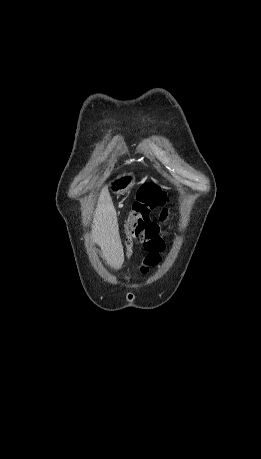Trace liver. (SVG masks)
<instances>
[{
	"instance_id": "obj_1",
	"label": "liver",
	"mask_w": 261,
	"mask_h": 459,
	"mask_svg": "<svg viewBox=\"0 0 261 459\" xmlns=\"http://www.w3.org/2000/svg\"><path fill=\"white\" fill-rule=\"evenodd\" d=\"M106 197L107 188H104L95 210L92 237L100 246L107 264L118 270L124 262V253L116 225L109 213L110 205L107 203Z\"/></svg>"
}]
</instances>
